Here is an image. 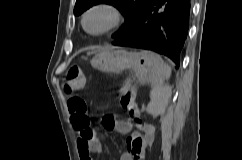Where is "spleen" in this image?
<instances>
[{
  "label": "spleen",
  "instance_id": "spleen-1",
  "mask_svg": "<svg viewBox=\"0 0 242 160\" xmlns=\"http://www.w3.org/2000/svg\"><path fill=\"white\" fill-rule=\"evenodd\" d=\"M151 68L153 76L150 80L152 83L151 102L147 111L150 113H157L161 111L165 101H168L171 96V89L164 86L165 79L171 75V67L164 63L162 58L154 53H151Z\"/></svg>",
  "mask_w": 242,
  "mask_h": 160
}]
</instances>
